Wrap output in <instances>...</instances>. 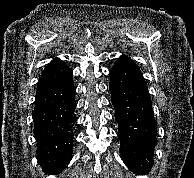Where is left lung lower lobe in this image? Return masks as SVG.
Wrapping results in <instances>:
<instances>
[{
	"label": "left lung lower lobe",
	"mask_w": 194,
	"mask_h": 178,
	"mask_svg": "<svg viewBox=\"0 0 194 178\" xmlns=\"http://www.w3.org/2000/svg\"><path fill=\"white\" fill-rule=\"evenodd\" d=\"M111 101L118 122L120 155L128 168L145 175L153 166L157 121L140 68L127 56L110 70Z\"/></svg>",
	"instance_id": "obj_1"
}]
</instances>
